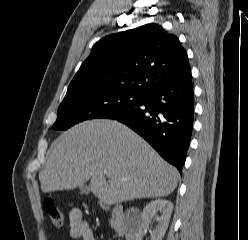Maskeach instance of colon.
<instances>
[{"label":"colon","instance_id":"obj_1","mask_svg":"<svg viewBox=\"0 0 248 240\" xmlns=\"http://www.w3.org/2000/svg\"><path fill=\"white\" fill-rule=\"evenodd\" d=\"M44 210L50 216L53 225L62 228L66 225V217L63 211L52 200L44 202Z\"/></svg>","mask_w":248,"mask_h":240}]
</instances>
